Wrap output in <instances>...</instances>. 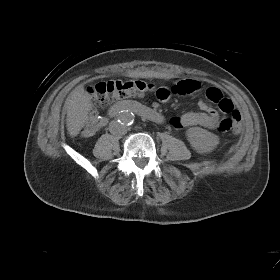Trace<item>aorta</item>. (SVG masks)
I'll return each mask as SVG.
<instances>
[{
	"label": "aorta",
	"mask_w": 280,
	"mask_h": 280,
	"mask_svg": "<svg viewBox=\"0 0 280 280\" xmlns=\"http://www.w3.org/2000/svg\"><path fill=\"white\" fill-rule=\"evenodd\" d=\"M133 119H134L133 113L128 110L121 111V113L118 116V122L122 125H128L132 123Z\"/></svg>",
	"instance_id": "aorta-1"
}]
</instances>
